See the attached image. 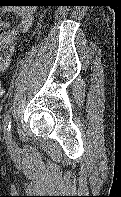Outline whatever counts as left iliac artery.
Instances as JSON below:
<instances>
[{
	"label": "left iliac artery",
	"mask_w": 121,
	"mask_h": 197,
	"mask_svg": "<svg viewBox=\"0 0 121 197\" xmlns=\"http://www.w3.org/2000/svg\"><path fill=\"white\" fill-rule=\"evenodd\" d=\"M3 129L6 140L11 142V115L9 113L4 117Z\"/></svg>",
	"instance_id": "obj_1"
}]
</instances>
